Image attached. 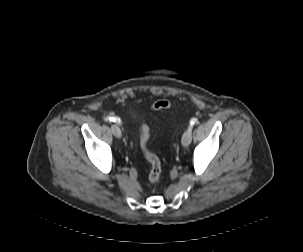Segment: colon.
<instances>
[{"label":"colon","mask_w":303,"mask_h":252,"mask_svg":"<svg viewBox=\"0 0 303 252\" xmlns=\"http://www.w3.org/2000/svg\"><path fill=\"white\" fill-rule=\"evenodd\" d=\"M170 102L168 100H160L152 105V110H161L168 108ZM140 145L145 158L149 163V179L152 183H157L160 179L161 164L159 158L148 148V141L150 137L149 128L143 124L140 128Z\"/></svg>","instance_id":"5ec220e1"}]
</instances>
